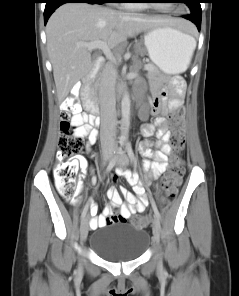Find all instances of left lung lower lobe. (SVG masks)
Wrapping results in <instances>:
<instances>
[{
	"label": "left lung lower lobe",
	"mask_w": 239,
	"mask_h": 296,
	"mask_svg": "<svg viewBox=\"0 0 239 296\" xmlns=\"http://www.w3.org/2000/svg\"><path fill=\"white\" fill-rule=\"evenodd\" d=\"M185 19H188L190 21H192L197 27H198V30H200V27H201V17H198L192 13H189L187 15H184L183 16Z\"/></svg>",
	"instance_id": "left-lung-lower-lobe-1"
}]
</instances>
